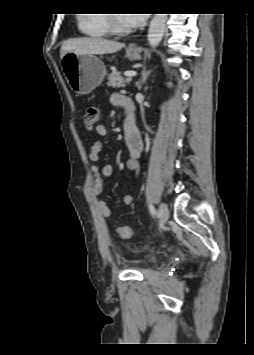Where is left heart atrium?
I'll return each instance as SVG.
<instances>
[{
    "mask_svg": "<svg viewBox=\"0 0 254 355\" xmlns=\"http://www.w3.org/2000/svg\"><path fill=\"white\" fill-rule=\"evenodd\" d=\"M126 22L131 27H140L143 26L147 19L146 13H134L130 12L123 16Z\"/></svg>",
    "mask_w": 254,
    "mask_h": 355,
    "instance_id": "left-heart-atrium-1",
    "label": "left heart atrium"
}]
</instances>
